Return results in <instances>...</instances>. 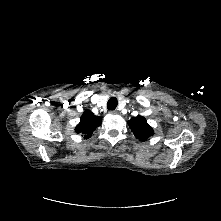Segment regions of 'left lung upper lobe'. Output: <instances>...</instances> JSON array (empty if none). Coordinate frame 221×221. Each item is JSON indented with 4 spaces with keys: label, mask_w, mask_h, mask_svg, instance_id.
Here are the masks:
<instances>
[{
    "label": "left lung upper lobe",
    "mask_w": 221,
    "mask_h": 221,
    "mask_svg": "<svg viewBox=\"0 0 221 221\" xmlns=\"http://www.w3.org/2000/svg\"><path fill=\"white\" fill-rule=\"evenodd\" d=\"M128 125L135 137L140 141H146L154 134L152 127L143 116L138 115L137 117L131 118L128 121Z\"/></svg>",
    "instance_id": "5c2ea615"
}]
</instances>
